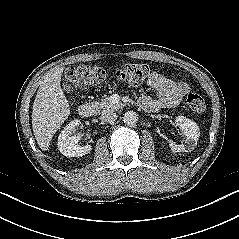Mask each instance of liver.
Returning a JSON list of instances; mask_svg holds the SVG:
<instances>
[{
    "label": "liver",
    "instance_id": "6515ba94",
    "mask_svg": "<svg viewBox=\"0 0 239 239\" xmlns=\"http://www.w3.org/2000/svg\"><path fill=\"white\" fill-rule=\"evenodd\" d=\"M64 67L48 71L40 83L32 111V128L39 147L46 151L50 142L70 115V107L61 86Z\"/></svg>",
    "mask_w": 239,
    "mask_h": 239
}]
</instances>
